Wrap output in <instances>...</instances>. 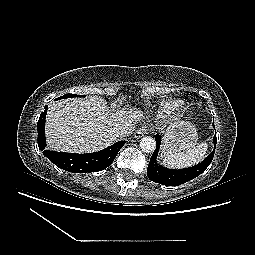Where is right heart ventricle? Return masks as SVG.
I'll return each mask as SVG.
<instances>
[{
    "label": "right heart ventricle",
    "instance_id": "obj_1",
    "mask_svg": "<svg viewBox=\"0 0 255 255\" xmlns=\"http://www.w3.org/2000/svg\"><path fill=\"white\" fill-rule=\"evenodd\" d=\"M179 107H180V103H178L176 101H170V102H167L163 105L162 111L164 113H171L175 110H178Z\"/></svg>",
    "mask_w": 255,
    "mask_h": 255
}]
</instances>
